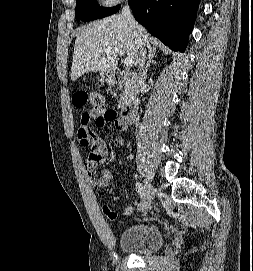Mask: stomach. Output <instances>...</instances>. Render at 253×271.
<instances>
[{
	"instance_id": "stomach-1",
	"label": "stomach",
	"mask_w": 253,
	"mask_h": 271,
	"mask_svg": "<svg viewBox=\"0 0 253 271\" xmlns=\"http://www.w3.org/2000/svg\"><path fill=\"white\" fill-rule=\"evenodd\" d=\"M100 76L102 77V79L107 82V83H113L114 79H113V74L112 73H107V72H101Z\"/></svg>"
}]
</instances>
